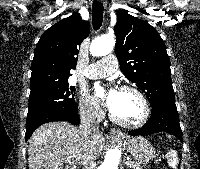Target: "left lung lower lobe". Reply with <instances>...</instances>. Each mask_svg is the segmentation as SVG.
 I'll return each mask as SVG.
<instances>
[{"instance_id": "0a47b994", "label": "left lung lower lobe", "mask_w": 200, "mask_h": 169, "mask_svg": "<svg viewBox=\"0 0 200 169\" xmlns=\"http://www.w3.org/2000/svg\"><path fill=\"white\" fill-rule=\"evenodd\" d=\"M167 132L176 136L181 142L182 130L175 102H159L152 106L151 118L137 130L129 131V135H150L158 132Z\"/></svg>"}]
</instances>
